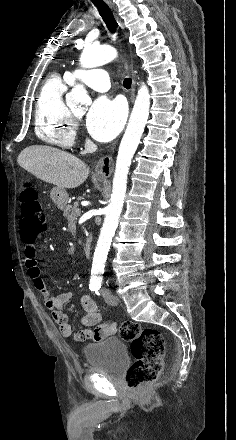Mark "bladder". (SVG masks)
<instances>
[{"mask_svg":"<svg viewBox=\"0 0 236 440\" xmlns=\"http://www.w3.org/2000/svg\"><path fill=\"white\" fill-rule=\"evenodd\" d=\"M83 353L90 370L110 377H117L129 360L126 343L113 336L85 345Z\"/></svg>","mask_w":236,"mask_h":440,"instance_id":"bladder-1","label":"bladder"}]
</instances>
